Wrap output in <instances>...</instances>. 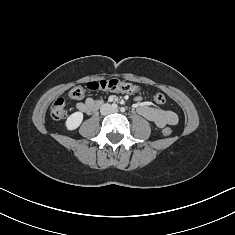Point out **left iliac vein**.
<instances>
[{"instance_id": "4c4485c4", "label": "left iliac vein", "mask_w": 235, "mask_h": 235, "mask_svg": "<svg viewBox=\"0 0 235 235\" xmlns=\"http://www.w3.org/2000/svg\"><path fill=\"white\" fill-rule=\"evenodd\" d=\"M113 111H114V112H118V109H114Z\"/></svg>"}]
</instances>
